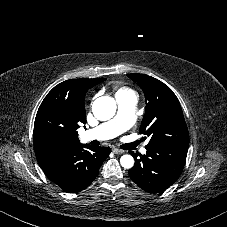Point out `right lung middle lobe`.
I'll list each match as a JSON object with an SVG mask.
<instances>
[{"instance_id": "dd1d6c3e", "label": "right lung middle lobe", "mask_w": 227, "mask_h": 227, "mask_svg": "<svg viewBox=\"0 0 227 227\" xmlns=\"http://www.w3.org/2000/svg\"><path fill=\"white\" fill-rule=\"evenodd\" d=\"M78 128L79 125L71 119L48 118L39 121L37 137L48 147L63 146L73 140H78L76 132Z\"/></svg>"}]
</instances>
